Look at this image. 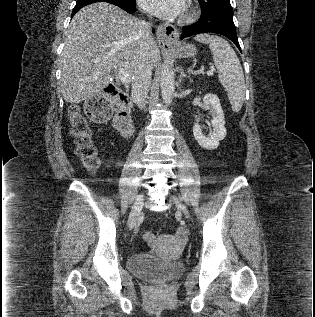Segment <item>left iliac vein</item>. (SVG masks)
<instances>
[{
  "mask_svg": "<svg viewBox=\"0 0 315 317\" xmlns=\"http://www.w3.org/2000/svg\"><path fill=\"white\" fill-rule=\"evenodd\" d=\"M174 203L176 204L178 210L183 212L186 217H189L187 208L185 207L184 204L181 203V201L177 197L174 198Z\"/></svg>",
  "mask_w": 315,
  "mask_h": 317,
  "instance_id": "4c4485c4",
  "label": "left iliac vein"
}]
</instances>
